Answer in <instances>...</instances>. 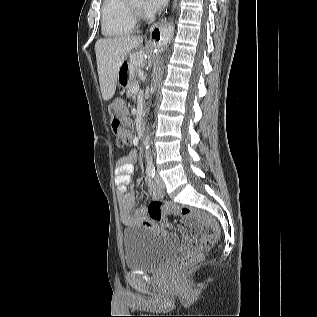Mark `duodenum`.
<instances>
[{
  "mask_svg": "<svg viewBox=\"0 0 317 317\" xmlns=\"http://www.w3.org/2000/svg\"><path fill=\"white\" fill-rule=\"evenodd\" d=\"M137 135H138L139 138H144L146 134H145L144 131L141 130V131L138 132Z\"/></svg>",
  "mask_w": 317,
  "mask_h": 317,
  "instance_id": "410a0bca",
  "label": "duodenum"
}]
</instances>
